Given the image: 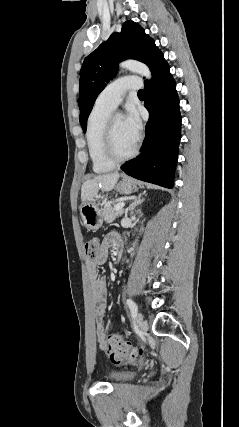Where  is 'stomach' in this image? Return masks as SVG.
Segmentation results:
<instances>
[{
	"label": "stomach",
	"mask_w": 239,
	"mask_h": 427,
	"mask_svg": "<svg viewBox=\"0 0 239 427\" xmlns=\"http://www.w3.org/2000/svg\"><path fill=\"white\" fill-rule=\"evenodd\" d=\"M115 189L121 194H131L138 190L137 183L130 178H123ZM80 214L84 225L89 230H98L103 224L102 212L94 200L84 202L80 207Z\"/></svg>",
	"instance_id": "0dacf381"
}]
</instances>
